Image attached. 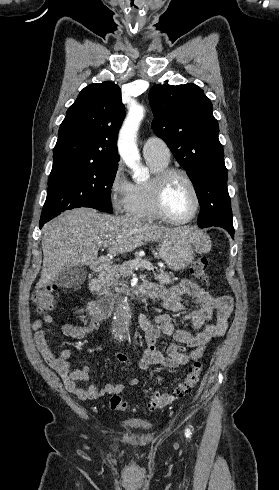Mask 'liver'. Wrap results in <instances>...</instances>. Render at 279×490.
Returning <instances> with one entry per match:
<instances>
[{
    "label": "liver",
    "mask_w": 279,
    "mask_h": 490,
    "mask_svg": "<svg viewBox=\"0 0 279 490\" xmlns=\"http://www.w3.org/2000/svg\"><path fill=\"white\" fill-rule=\"evenodd\" d=\"M41 242L43 266L35 288H45L69 266L97 264L102 244H109V254L133 252L145 242L181 236L202 250V234L194 228H165L147 224L141 218L106 216L92 208L67 210L43 228Z\"/></svg>",
    "instance_id": "6515ba94"
}]
</instances>
